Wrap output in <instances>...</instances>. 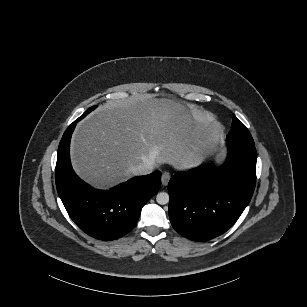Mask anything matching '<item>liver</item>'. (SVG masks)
<instances>
[{
  "label": "liver",
  "mask_w": 307,
  "mask_h": 307,
  "mask_svg": "<svg viewBox=\"0 0 307 307\" xmlns=\"http://www.w3.org/2000/svg\"><path fill=\"white\" fill-rule=\"evenodd\" d=\"M196 104L191 111L198 110ZM74 173L96 190L130 180V167L167 164L188 171L199 164L198 131L188 106L151 94L107 100L77 124L71 141Z\"/></svg>",
  "instance_id": "obj_1"
}]
</instances>
